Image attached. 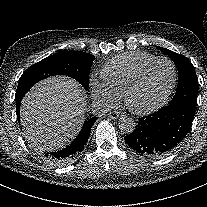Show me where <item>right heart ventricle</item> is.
Here are the masks:
<instances>
[{"label": "right heart ventricle", "mask_w": 207, "mask_h": 207, "mask_svg": "<svg viewBox=\"0 0 207 207\" xmlns=\"http://www.w3.org/2000/svg\"><path fill=\"white\" fill-rule=\"evenodd\" d=\"M156 59L152 54L132 52L123 54L109 61L102 70V78L117 97L122 93L128 82L148 62Z\"/></svg>", "instance_id": "e07e8e85"}]
</instances>
